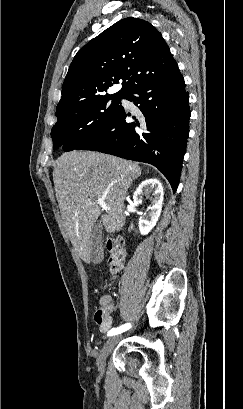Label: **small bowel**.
<instances>
[{
    "mask_svg": "<svg viewBox=\"0 0 243 409\" xmlns=\"http://www.w3.org/2000/svg\"><path fill=\"white\" fill-rule=\"evenodd\" d=\"M100 304L104 308H106L109 313L106 314L104 321L99 325V329L102 333L107 332L113 325L114 317L112 315V311L115 309L114 304L112 303V299L109 295H104L100 298Z\"/></svg>",
    "mask_w": 243,
    "mask_h": 409,
    "instance_id": "obj_1",
    "label": "small bowel"
}]
</instances>
